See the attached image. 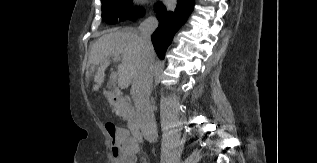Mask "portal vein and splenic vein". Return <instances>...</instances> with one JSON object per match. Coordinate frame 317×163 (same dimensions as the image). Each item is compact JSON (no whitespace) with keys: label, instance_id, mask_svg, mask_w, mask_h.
Segmentation results:
<instances>
[{"label":"portal vein and splenic vein","instance_id":"18ae733b","mask_svg":"<svg viewBox=\"0 0 317 163\" xmlns=\"http://www.w3.org/2000/svg\"><path fill=\"white\" fill-rule=\"evenodd\" d=\"M119 60H120L119 57H114L115 62H118ZM117 79H118V73H116V72L111 73V75H110L111 82L115 83L117 81Z\"/></svg>","mask_w":317,"mask_h":163}]
</instances>
